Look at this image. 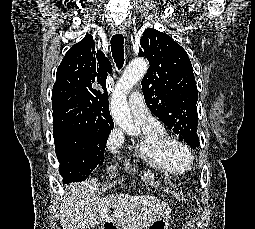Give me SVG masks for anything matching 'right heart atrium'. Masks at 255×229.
I'll use <instances>...</instances> for the list:
<instances>
[{"mask_svg": "<svg viewBox=\"0 0 255 229\" xmlns=\"http://www.w3.org/2000/svg\"><path fill=\"white\" fill-rule=\"evenodd\" d=\"M121 144L122 137L118 131L114 130L107 140L106 148L110 153H115L119 149Z\"/></svg>", "mask_w": 255, "mask_h": 229, "instance_id": "right-heart-atrium-1", "label": "right heart atrium"}]
</instances>
